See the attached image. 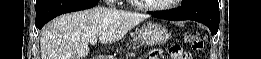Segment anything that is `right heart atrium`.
Wrapping results in <instances>:
<instances>
[{"label":"right heart atrium","instance_id":"obj_1","mask_svg":"<svg viewBox=\"0 0 261 59\" xmlns=\"http://www.w3.org/2000/svg\"><path fill=\"white\" fill-rule=\"evenodd\" d=\"M106 2H107L108 4H112V3H115L116 0H106Z\"/></svg>","mask_w":261,"mask_h":59}]
</instances>
